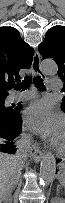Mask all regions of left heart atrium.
<instances>
[{"instance_id":"39dd6f15","label":"left heart atrium","mask_w":65,"mask_h":203,"mask_svg":"<svg viewBox=\"0 0 65 203\" xmlns=\"http://www.w3.org/2000/svg\"><path fill=\"white\" fill-rule=\"evenodd\" d=\"M24 120L27 128L40 136L56 142L64 133L65 120L63 115L54 110L52 104L40 100L31 104L24 111Z\"/></svg>"}]
</instances>
